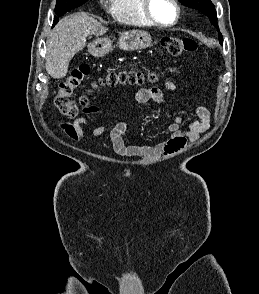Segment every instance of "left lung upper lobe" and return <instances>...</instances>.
I'll return each instance as SVG.
<instances>
[{"label":"left lung upper lobe","mask_w":259,"mask_h":294,"mask_svg":"<svg viewBox=\"0 0 259 294\" xmlns=\"http://www.w3.org/2000/svg\"><path fill=\"white\" fill-rule=\"evenodd\" d=\"M183 5L199 10L204 13L210 19V22L217 28L219 32V27L217 23L216 10L213 3L210 0H179ZM218 38L220 44H223L222 34L218 33Z\"/></svg>","instance_id":"left-lung-upper-lobe-1"}]
</instances>
